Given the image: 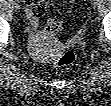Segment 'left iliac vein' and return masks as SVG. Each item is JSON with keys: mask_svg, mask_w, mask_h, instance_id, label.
<instances>
[{"mask_svg": "<svg viewBox=\"0 0 111 106\" xmlns=\"http://www.w3.org/2000/svg\"><path fill=\"white\" fill-rule=\"evenodd\" d=\"M98 0H92L93 4H97Z\"/></svg>", "mask_w": 111, "mask_h": 106, "instance_id": "left-iliac-vein-1", "label": "left iliac vein"}]
</instances>
